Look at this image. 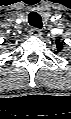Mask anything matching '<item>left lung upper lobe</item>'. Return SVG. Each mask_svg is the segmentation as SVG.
<instances>
[{"label": "left lung upper lobe", "mask_w": 71, "mask_h": 119, "mask_svg": "<svg viewBox=\"0 0 71 119\" xmlns=\"http://www.w3.org/2000/svg\"><path fill=\"white\" fill-rule=\"evenodd\" d=\"M57 51L60 52L63 49V41L57 40L56 42Z\"/></svg>", "instance_id": "obj_1"}]
</instances>
